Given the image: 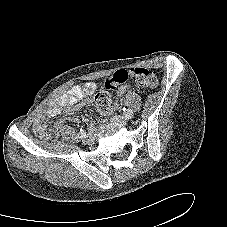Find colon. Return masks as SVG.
Instances as JSON below:
<instances>
[{
  "instance_id": "1",
  "label": "colon",
  "mask_w": 227,
  "mask_h": 227,
  "mask_svg": "<svg viewBox=\"0 0 227 227\" xmlns=\"http://www.w3.org/2000/svg\"><path fill=\"white\" fill-rule=\"evenodd\" d=\"M128 79H133L137 84L145 89H154L158 85L156 74L144 67H134L128 70L120 69L115 71L106 79L104 87L96 94L95 104L102 112H108L111 106V91Z\"/></svg>"
}]
</instances>
